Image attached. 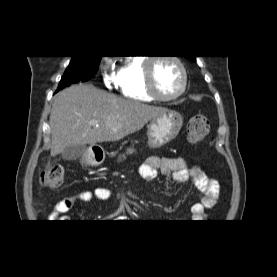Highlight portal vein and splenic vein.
<instances>
[{
	"label": "portal vein and splenic vein",
	"mask_w": 277,
	"mask_h": 277,
	"mask_svg": "<svg viewBox=\"0 0 277 277\" xmlns=\"http://www.w3.org/2000/svg\"><path fill=\"white\" fill-rule=\"evenodd\" d=\"M91 124H92L93 126L98 127V124H97V122H96V121H91Z\"/></svg>",
	"instance_id": "obj_1"
}]
</instances>
